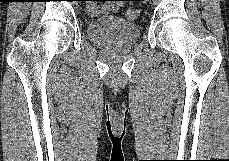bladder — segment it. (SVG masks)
Instances as JSON below:
<instances>
[{"mask_svg":"<svg viewBox=\"0 0 229 161\" xmlns=\"http://www.w3.org/2000/svg\"><path fill=\"white\" fill-rule=\"evenodd\" d=\"M89 39L97 46L112 48L131 46L139 39L136 24L117 16H103L87 24Z\"/></svg>","mask_w":229,"mask_h":161,"instance_id":"31cf9c89","label":"bladder"}]
</instances>
